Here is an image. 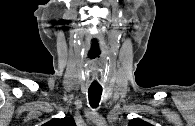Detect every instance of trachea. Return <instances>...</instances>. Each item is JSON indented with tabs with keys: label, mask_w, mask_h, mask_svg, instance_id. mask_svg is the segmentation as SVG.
I'll use <instances>...</instances> for the list:
<instances>
[{
	"label": "trachea",
	"mask_w": 195,
	"mask_h": 126,
	"mask_svg": "<svg viewBox=\"0 0 195 126\" xmlns=\"http://www.w3.org/2000/svg\"><path fill=\"white\" fill-rule=\"evenodd\" d=\"M102 94V88L90 87L88 91L89 104L92 108H96L99 105Z\"/></svg>",
	"instance_id": "1"
}]
</instances>
